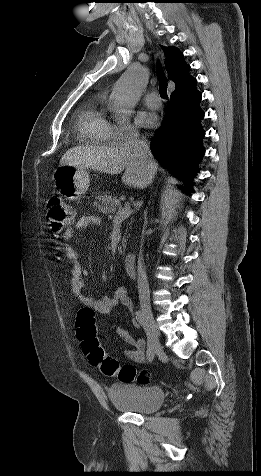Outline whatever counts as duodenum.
<instances>
[{"label": "duodenum", "instance_id": "obj_1", "mask_svg": "<svg viewBox=\"0 0 261 476\" xmlns=\"http://www.w3.org/2000/svg\"><path fill=\"white\" fill-rule=\"evenodd\" d=\"M125 270L129 276L137 274V257L135 254H127L124 260Z\"/></svg>", "mask_w": 261, "mask_h": 476}]
</instances>
